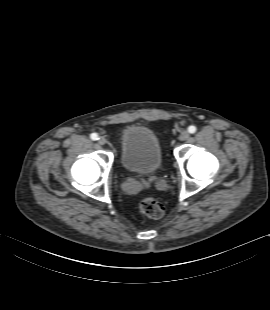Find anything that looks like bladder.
<instances>
[{"label":"bladder","mask_w":270,"mask_h":310,"mask_svg":"<svg viewBox=\"0 0 270 310\" xmlns=\"http://www.w3.org/2000/svg\"><path fill=\"white\" fill-rule=\"evenodd\" d=\"M122 166L139 174H154L163 165L161 144L155 132L145 126L126 127L120 136Z\"/></svg>","instance_id":"obj_1"}]
</instances>
